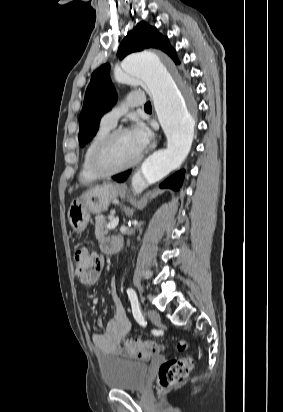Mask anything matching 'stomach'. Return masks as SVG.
Segmentation results:
<instances>
[{
  "label": "stomach",
  "instance_id": "0dacf381",
  "mask_svg": "<svg viewBox=\"0 0 283 412\" xmlns=\"http://www.w3.org/2000/svg\"><path fill=\"white\" fill-rule=\"evenodd\" d=\"M119 188L113 184L96 186L79 198L74 199L69 206L67 217L73 231L81 233L87 227L91 214L106 211L112 200L119 195Z\"/></svg>",
  "mask_w": 283,
  "mask_h": 412
}]
</instances>
